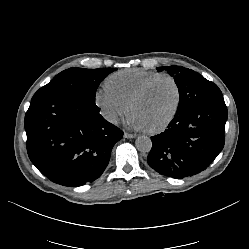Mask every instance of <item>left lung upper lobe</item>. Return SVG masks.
<instances>
[{
	"instance_id": "1",
	"label": "left lung upper lobe",
	"mask_w": 249,
	"mask_h": 249,
	"mask_svg": "<svg viewBox=\"0 0 249 249\" xmlns=\"http://www.w3.org/2000/svg\"><path fill=\"white\" fill-rule=\"evenodd\" d=\"M166 69L174 76L179 89V106L176 115L182 114L195 105L224 100L222 92L213 82L208 81L199 73L179 66L158 67V71Z\"/></svg>"
}]
</instances>
